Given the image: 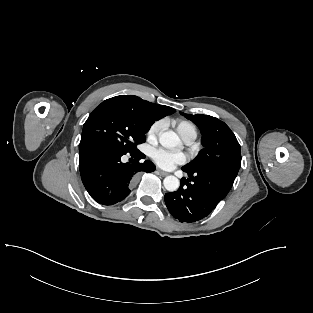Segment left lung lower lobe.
Here are the masks:
<instances>
[{"mask_svg":"<svg viewBox=\"0 0 313 313\" xmlns=\"http://www.w3.org/2000/svg\"><path fill=\"white\" fill-rule=\"evenodd\" d=\"M180 188L165 194V203L174 218L180 222H195L210 214L230 191L236 174L221 170L189 172ZM192 181V183H190Z\"/></svg>","mask_w":313,"mask_h":313,"instance_id":"obj_1","label":"left lung lower lobe"}]
</instances>
